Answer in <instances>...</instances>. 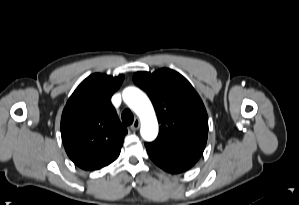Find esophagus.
Instances as JSON below:
<instances>
[{
  "instance_id": "1",
  "label": "esophagus",
  "mask_w": 299,
  "mask_h": 205,
  "mask_svg": "<svg viewBox=\"0 0 299 205\" xmlns=\"http://www.w3.org/2000/svg\"><path fill=\"white\" fill-rule=\"evenodd\" d=\"M139 126H140V121H139V119H135L134 122H133V124L130 126V129H131L132 131H136V130L139 129Z\"/></svg>"
}]
</instances>
